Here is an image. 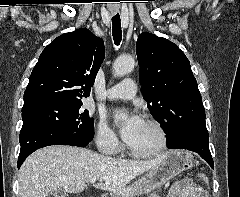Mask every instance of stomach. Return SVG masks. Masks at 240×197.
<instances>
[{
  "instance_id": "1",
  "label": "stomach",
  "mask_w": 240,
  "mask_h": 197,
  "mask_svg": "<svg viewBox=\"0 0 240 197\" xmlns=\"http://www.w3.org/2000/svg\"><path fill=\"white\" fill-rule=\"evenodd\" d=\"M194 165L193 155L188 151L173 150L164 159L136 182L126 186L116 197H134L159 188L167 181L190 169Z\"/></svg>"
}]
</instances>
